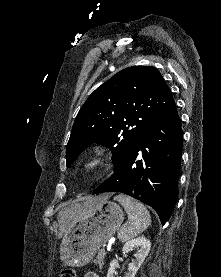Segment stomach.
<instances>
[{"instance_id": "0dacf381", "label": "stomach", "mask_w": 221, "mask_h": 277, "mask_svg": "<svg viewBox=\"0 0 221 277\" xmlns=\"http://www.w3.org/2000/svg\"><path fill=\"white\" fill-rule=\"evenodd\" d=\"M123 219L121 207L108 199L83 207L70 220L67 232L62 236V262L71 267H81L91 262L98 249L119 229Z\"/></svg>"}]
</instances>
